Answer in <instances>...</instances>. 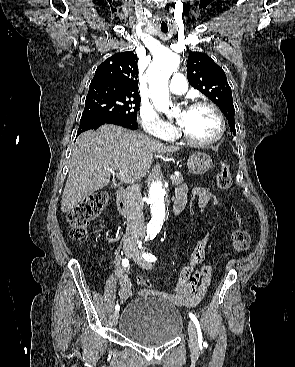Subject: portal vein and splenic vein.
<instances>
[{
    "label": "portal vein and splenic vein",
    "instance_id": "portal-vein-and-splenic-vein-1",
    "mask_svg": "<svg viewBox=\"0 0 295 367\" xmlns=\"http://www.w3.org/2000/svg\"><path fill=\"white\" fill-rule=\"evenodd\" d=\"M112 174H114V172L112 171V170H109ZM116 176L120 179V180H122V181H124V182H127V183H130V182H134V180H133V178L131 177V176H129L128 174H127V172L126 171H119L118 173H116ZM170 178H171V180L172 179H174L175 178V176L174 175H171L170 176Z\"/></svg>",
    "mask_w": 295,
    "mask_h": 367
}]
</instances>
